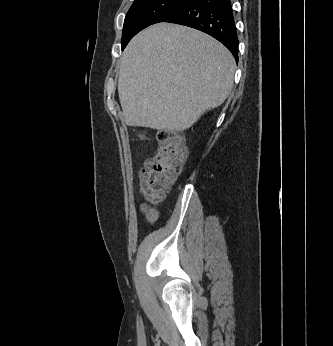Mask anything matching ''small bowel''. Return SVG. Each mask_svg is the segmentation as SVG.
<instances>
[{
  "label": "small bowel",
  "instance_id": "small-bowel-1",
  "mask_svg": "<svg viewBox=\"0 0 333 346\" xmlns=\"http://www.w3.org/2000/svg\"><path fill=\"white\" fill-rule=\"evenodd\" d=\"M139 208L149 223H155L157 221L158 212L156 209L146 203H140Z\"/></svg>",
  "mask_w": 333,
  "mask_h": 346
}]
</instances>
